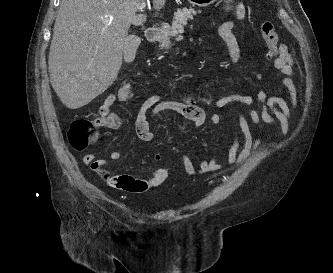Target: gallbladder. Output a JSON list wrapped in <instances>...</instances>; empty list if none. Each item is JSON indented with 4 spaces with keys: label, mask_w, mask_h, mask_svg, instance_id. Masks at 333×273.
I'll use <instances>...</instances> for the list:
<instances>
[{
    "label": "gallbladder",
    "mask_w": 333,
    "mask_h": 273,
    "mask_svg": "<svg viewBox=\"0 0 333 273\" xmlns=\"http://www.w3.org/2000/svg\"><path fill=\"white\" fill-rule=\"evenodd\" d=\"M140 43V40L137 36L131 35L127 38L123 47L124 60L126 63H131L136 54V49Z\"/></svg>",
    "instance_id": "1"
}]
</instances>
